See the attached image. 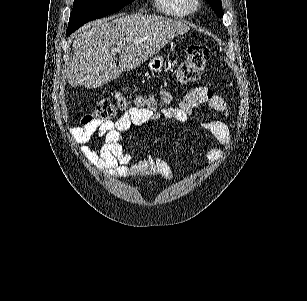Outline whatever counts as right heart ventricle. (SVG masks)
Masks as SVG:
<instances>
[{"label":"right heart ventricle","mask_w":307,"mask_h":301,"mask_svg":"<svg viewBox=\"0 0 307 301\" xmlns=\"http://www.w3.org/2000/svg\"><path fill=\"white\" fill-rule=\"evenodd\" d=\"M157 12L161 13V17H183L182 0H154Z\"/></svg>","instance_id":"e07e8e85"}]
</instances>
